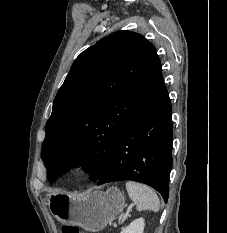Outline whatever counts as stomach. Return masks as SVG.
Segmentation results:
<instances>
[{
	"label": "stomach",
	"instance_id": "obj_1",
	"mask_svg": "<svg viewBox=\"0 0 227 233\" xmlns=\"http://www.w3.org/2000/svg\"><path fill=\"white\" fill-rule=\"evenodd\" d=\"M48 201L50 211L59 222L93 232L105 228L124 208V196L117 188L94 191L84 197L53 192Z\"/></svg>",
	"mask_w": 227,
	"mask_h": 233
}]
</instances>
